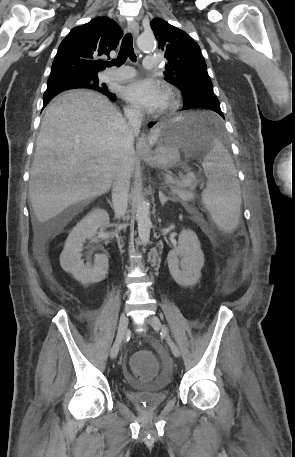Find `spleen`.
I'll use <instances>...</instances> for the list:
<instances>
[{
	"label": "spleen",
	"instance_id": "3e777b00",
	"mask_svg": "<svg viewBox=\"0 0 295 457\" xmlns=\"http://www.w3.org/2000/svg\"><path fill=\"white\" fill-rule=\"evenodd\" d=\"M202 167L207 177L202 202L217 227L224 232H232L239 222L241 191L233 160L218 140L213 141Z\"/></svg>",
	"mask_w": 295,
	"mask_h": 457
}]
</instances>
